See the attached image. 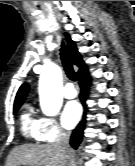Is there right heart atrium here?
Wrapping results in <instances>:
<instances>
[{"mask_svg":"<svg viewBox=\"0 0 135 166\" xmlns=\"http://www.w3.org/2000/svg\"><path fill=\"white\" fill-rule=\"evenodd\" d=\"M65 136L57 121L51 117L41 119V138L43 141H57Z\"/></svg>","mask_w":135,"mask_h":166,"instance_id":"obj_1","label":"right heart atrium"}]
</instances>
